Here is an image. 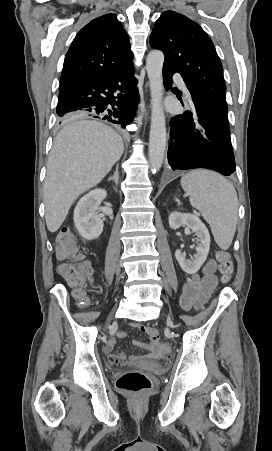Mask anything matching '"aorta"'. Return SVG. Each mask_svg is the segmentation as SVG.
I'll list each match as a JSON object with an SVG mask.
<instances>
[{
    "mask_svg": "<svg viewBox=\"0 0 272 451\" xmlns=\"http://www.w3.org/2000/svg\"><path fill=\"white\" fill-rule=\"evenodd\" d=\"M164 54L151 50L146 60V70L151 92V128L149 134V164L152 172L160 170L166 150V122L162 106Z\"/></svg>",
    "mask_w": 272,
    "mask_h": 451,
    "instance_id": "aorta-1",
    "label": "aorta"
}]
</instances>
